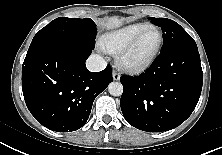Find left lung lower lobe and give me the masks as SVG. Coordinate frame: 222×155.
Wrapping results in <instances>:
<instances>
[{"label":"left lung lower lobe","mask_w":222,"mask_h":155,"mask_svg":"<svg viewBox=\"0 0 222 155\" xmlns=\"http://www.w3.org/2000/svg\"><path fill=\"white\" fill-rule=\"evenodd\" d=\"M120 81L124 87L120 106L128 123L148 132L176 128L191 115L201 94L198 48L160 52L147 71Z\"/></svg>","instance_id":"1"}]
</instances>
